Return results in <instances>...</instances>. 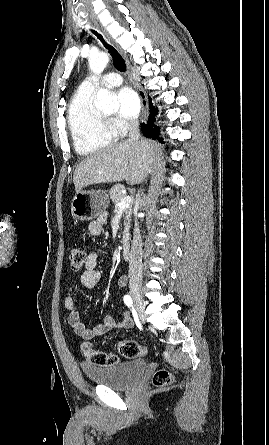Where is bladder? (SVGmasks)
Masks as SVG:
<instances>
[{
  "label": "bladder",
  "instance_id": "obj_1",
  "mask_svg": "<svg viewBox=\"0 0 269 445\" xmlns=\"http://www.w3.org/2000/svg\"><path fill=\"white\" fill-rule=\"evenodd\" d=\"M81 369L85 377L94 384L114 390H124L140 381L147 370V363L143 359L106 367L83 363Z\"/></svg>",
  "mask_w": 269,
  "mask_h": 445
}]
</instances>
